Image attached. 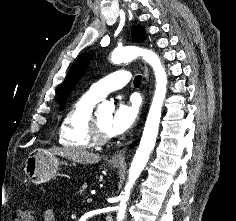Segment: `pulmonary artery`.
Here are the masks:
<instances>
[{
    "mask_svg": "<svg viewBox=\"0 0 236 221\" xmlns=\"http://www.w3.org/2000/svg\"><path fill=\"white\" fill-rule=\"evenodd\" d=\"M130 78L131 74L126 70L115 71L94 83L87 94L100 101L110 92L122 89Z\"/></svg>",
    "mask_w": 236,
    "mask_h": 221,
    "instance_id": "e3ab8cb5",
    "label": "pulmonary artery"
}]
</instances>
